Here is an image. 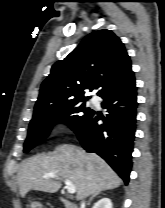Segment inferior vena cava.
<instances>
[{"instance_id": "obj_1", "label": "inferior vena cava", "mask_w": 165, "mask_h": 208, "mask_svg": "<svg viewBox=\"0 0 165 208\" xmlns=\"http://www.w3.org/2000/svg\"><path fill=\"white\" fill-rule=\"evenodd\" d=\"M81 208H85V202L81 203Z\"/></svg>"}]
</instances>
